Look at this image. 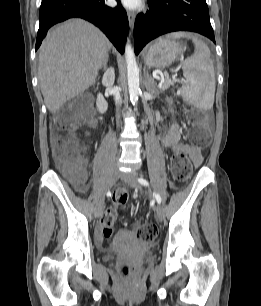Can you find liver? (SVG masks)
Here are the masks:
<instances>
[{
	"mask_svg": "<svg viewBox=\"0 0 261 306\" xmlns=\"http://www.w3.org/2000/svg\"><path fill=\"white\" fill-rule=\"evenodd\" d=\"M110 49L107 37L82 19L67 21L49 33L40 48L38 78L50 112L95 83Z\"/></svg>",
	"mask_w": 261,
	"mask_h": 306,
	"instance_id": "obj_1",
	"label": "liver"
}]
</instances>
